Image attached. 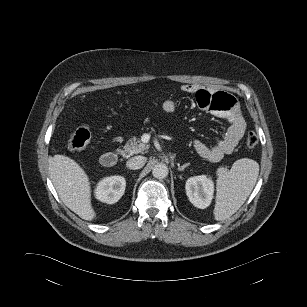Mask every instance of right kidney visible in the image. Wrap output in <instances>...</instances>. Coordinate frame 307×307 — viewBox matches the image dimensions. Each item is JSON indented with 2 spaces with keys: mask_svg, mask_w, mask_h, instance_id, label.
I'll list each match as a JSON object with an SVG mask.
<instances>
[{
  "mask_svg": "<svg viewBox=\"0 0 307 307\" xmlns=\"http://www.w3.org/2000/svg\"><path fill=\"white\" fill-rule=\"evenodd\" d=\"M125 187L126 181L124 177H106L97 184L95 195L101 202L114 204L123 196Z\"/></svg>",
  "mask_w": 307,
  "mask_h": 307,
  "instance_id": "right-kidney-1",
  "label": "right kidney"
}]
</instances>
